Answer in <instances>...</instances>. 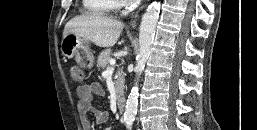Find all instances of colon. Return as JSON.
<instances>
[{"label":"colon","instance_id":"5ec220e1","mask_svg":"<svg viewBox=\"0 0 257 130\" xmlns=\"http://www.w3.org/2000/svg\"><path fill=\"white\" fill-rule=\"evenodd\" d=\"M70 74L74 81H76V82L84 81L85 75H84V71L81 68H79L77 66H73L70 69Z\"/></svg>","mask_w":257,"mask_h":130}]
</instances>
